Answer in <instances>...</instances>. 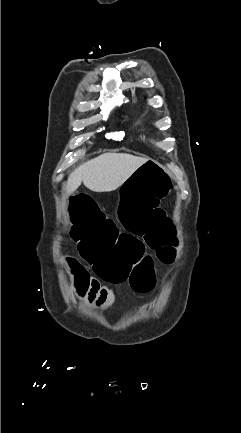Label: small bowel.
Instances as JSON below:
<instances>
[{
	"label": "small bowel",
	"instance_id": "obj_1",
	"mask_svg": "<svg viewBox=\"0 0 241 433\" xmlns=\"http://www.w3.org/2000/svg\"><path fill=\"white\" fill-rule=\"evenodd\" d=\"M89 281L90 288L87 292H83L82 295L84 296L86 303L102 311L109 310L116 301V291L113 288L102 284L95 276H89Z\"/></svg>",
	"mask_w": 241,
	"mask_h": 433
}]
</instances>
